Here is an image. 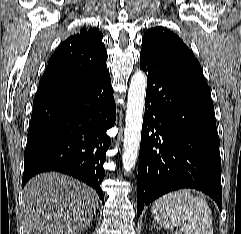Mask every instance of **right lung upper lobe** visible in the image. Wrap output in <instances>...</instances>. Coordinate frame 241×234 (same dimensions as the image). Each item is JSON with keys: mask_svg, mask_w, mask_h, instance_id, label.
<instances>
[{"mask_svg": "<svg viewBox=\"0 0 241 234\" xmlns=\"http://www.w3.org/2000/svg\"><path fill=\"white\" fill-rule=\"evenodd\" d=\"M102 38L97 28H83L62 42L49 59L36 96L80 86L108 72Z\"/></svg>", "mask_w": 241, "mask_h": 234, "instance_id": "obj_1", "label": "right lung upper lobe"}]
</instances>
